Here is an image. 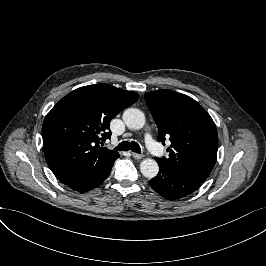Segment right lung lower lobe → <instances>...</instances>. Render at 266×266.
Listing matches in <instances>:
<instances>
[{
  "instance_id": "1",
  "label": "right lung lower lobe",
  "mask_w": 266,
  "mask_h": 266,
  "mask_svg": "<svg viewBox=\"0 0 266 266\" xmlns=\"http://www.w3.org/2000/svg\"><path fill=\"white\" fill-rule=\"evenodd\" d=\"M113 163L99 170H86L80 175L79 178L67 185L78 192L89 191L99 186L108 177Z\"/></svg>"
}]
</instances>
